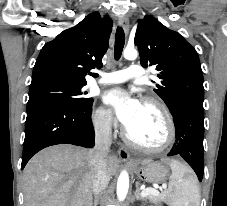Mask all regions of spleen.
<instances>
[{
	"label": "spleen",
	"instance_id": "3e777b00",
	"mask_svg": "<svg viewBox=\"0 0 227 206\" xmlns=\"http://www.w3.org/2000/svg\"><path fill=\"white\" fill-rule=\"evenodd\" d=\"M172 170L170 184L164 195L169 206H199L200 189L197 179L190 170L181 162L176 160H164Z\"/></svg>",
	"mask_w": 227,
	"mask_h": 206
}]
</instances>
